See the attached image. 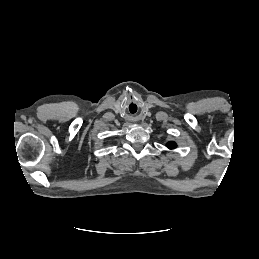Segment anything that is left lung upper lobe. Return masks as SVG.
<instances>
[{
  "mask_svg": "<svg viewBox=\"0 0 259 259\" xmlns=\"http://www.w3.org/2000/svg\"><path fill=\"white\" fill-rule=\"evenodd\" d=\"M167 147L170 148V149H174V148H176V143L175 142H168Z\"/></svg>",
  "mask_w": 259,
  "mask_h": 259,
  "instance_id": "5c2ea615",
  "label": "left lung upper lobe"
}]
</instances>
